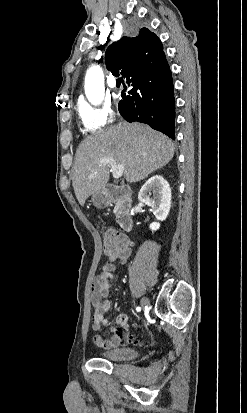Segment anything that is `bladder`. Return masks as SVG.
I'll list each match as a JSON object with an SVG mask.
<instances>
[{
  "instance_id": "obj_1",
  "label": "bladder",
  "mask_w": 247,
  "mask_h": 413,
  "mask_svg": "<svg viewBox=\"0 0 247 413\" xmlns=\"http://www.w3.org/2000/svg\"><path fill=\"white\" fill-rule=\"evenodd\" d=\"M138 355L136 347L106 350L99 353V358H104L113 362H124L134 360Z\"/></svg>"
}]
</instances>
